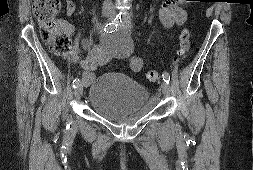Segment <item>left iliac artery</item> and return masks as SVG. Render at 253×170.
I'll use <instances>...</instances> for the list:
<instances>
[{
    "label": "left iliac artery",
    "instance_id": "1",
    "mask_svg": "<svg viewBox=\"0 0 253 170\" xmlns=\"http://www.w3.org/2000/svg\"><path fill=\"white\" fill-rule=\"evenodd\" d=\"M120 23L123 27L130 28L131 27V16L130 15L122 16V18H120ZM162 76H163V80L166 83L170 82V76L167 72H164Z\"/></svg>",
    "mask_w": 253,
    "mask_h": 170
}]
</instances>
